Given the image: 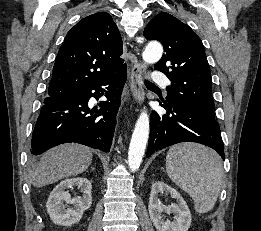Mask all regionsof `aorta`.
Segmentation results:
<instances>
[{
    "label": "aorta",
    "mask_w": 261,
    "mask_h": 231,
    "mask_svg": "<svg viewBox=\"0 0 261 231\" xmlns=\"http://www.w3.org/2000/svg\"><path fill=\"white\" fill-rule=\"evenodd\" d=\"M163 54L161 44L149 43L142 53L143 60L148 64L158 62ZM149 136V116L143 111L136 121L128 152V165L132 172L137 171L142 162Z\"/></svg>",
    "instance_id": "obj_1"
}]
</instances>
